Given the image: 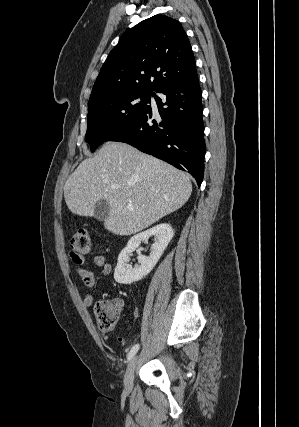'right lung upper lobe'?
<instances>
[{
  "label": "right lung upper lobe",
  "instance_id": "1",
  "mask_svg": "<svg viewBox=\"0 0 299 427\" xmlns=\"http://www.w3.org/2000/svg\"><path fill=\"white\" fill-rule=\"evenodd\" d=\"M196 74L192 48L181 24L158 14L122 36L101 68L89 105L124 92L151 93Z\"/></svg>",
  "mask_w": 299,
  "mask_h": 427
}]
</instances>
